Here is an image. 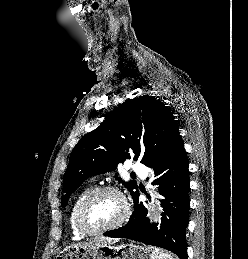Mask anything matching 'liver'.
<instances>
[{
  "instance_id": "1",
  "label": "liver",
  "mask_w": 248,
  "mask_h": 259,
  "mask_svg": "<svg viewBox=\"0 0 248 259\" xmlns=\"http://www.w3.org/2000/svg\"><path fill=\"white\" fill-rule=\"evenodd\" d=\"M118 241V238L100 237L89 242L79 243L75 246L94 248L102 245H112Z\"/></svg>"
}]
</instances>
